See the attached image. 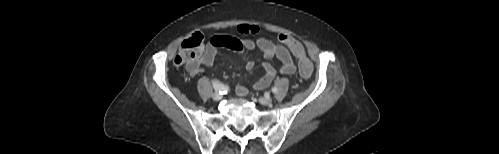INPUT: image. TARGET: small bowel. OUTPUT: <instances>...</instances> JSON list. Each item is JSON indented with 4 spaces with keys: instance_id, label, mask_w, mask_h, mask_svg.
I'll use <instances>...</instances> for the list:
<instances>
[{
    "instance_id": "small-bowel-1",
    "label": "small bowel",
    "mask_w": 499,
    "mask_h": 154,
    "mask_svg": "<svg viewBox=\"0 0 499 154\" xmlns=\"http://www.w3.org/2000/svg\"><path fill=\"white\" fill-rule=\"evenodd\" d=\"M239 33L256 34L258 32V27L251 24H242L237 27ZM220 48H227L233 50L237 53L243 54L245 51H250L254 49H259L267 60L272 58H277L280 62L279 71L283 75H292L295 72V64L292 60L289 50L281 45L275 44L271 40L260 37L256 40H251L247 38H236L232 36H214L209 39L208 44L203 52L201 60L198 64L187 65V69L191 75H197L200 72V65L210 66L213 64L217 50ZM253 61H247L245 68L251 71L254 68ZM264 74L257 80L253 87L256 89H263L268 87L277 75L276 68L269 62L263 63ZM236 92L239 96H246L248 90L245 86L238 85L236 87Z\"/></svg>"
}]
</instances>
